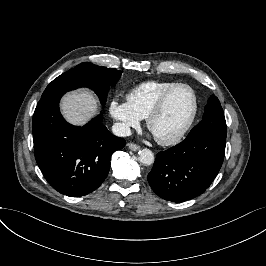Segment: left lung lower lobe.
<instances>
[{
	"label": "left lung lower lobe",
	"mask_w": 266,
	"mask_h": 266,
	"mask_svg": "<svg viewBox=\"0 0 266 266\" xmlns=\"http://www.w3.org/2000/svg\"><path fill=\"white\" fill-rule=\"evenodd\" d=\"M225 144L226 135L201 131L159 152L147 177L151 188L159 197L172 202L201 195L222 166Z\"/></svg>",
	"instance_id": "1"
}]
</instances>
